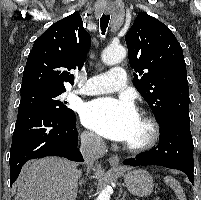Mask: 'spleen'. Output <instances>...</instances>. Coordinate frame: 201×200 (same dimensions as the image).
I'll use <instances>...</instances> for the list:
<instances>
[{
  "mask_svg": "<svg viewBox=\"0 0 201 200\" xmlns=\"http://www.w3.org/2000/svg\"><path fill=\"white\" fill-rule=\"evenodd\" d=\"M164 182L170 186L171 189L174 190L177 198L179 200H186V196H185V193H184V190L183 188L181 187L180 183L174 179L173 177L171 176H165L164 177Z\"/></svg>",
  "mask_w": 201,
  "mask_h": 200,
  "instance_id": "spleen-1",
  "label": "spleen"
}]
</instances>
